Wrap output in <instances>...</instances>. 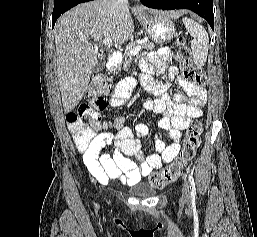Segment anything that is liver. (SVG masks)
Masks as SVG:
<instances>
[{
    "label": "liver",
    "mask_w": 257,
    "mask_h": 237,
    "mask_svg": "<svg viewBox=\"0 0 257 237\" xmlns=\"http://www.w3.org/2000/svg\"><path fill=\"white\" fill-rule=\"evenodd\" d=\"M150 12L171 19L179 16L177 12ZM133 32L129 8L118 5L116 0L82 3L58 19L55 25L57 73L65 113L81 101L98 61V49L86 42L110 38L122 44L132 37Z\"/></svg>",
    "instance_id": "1"
}]
</instances>
